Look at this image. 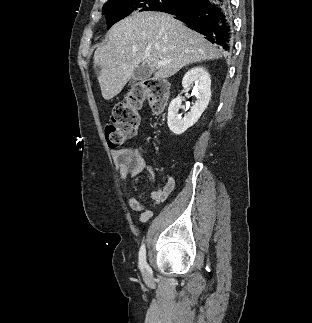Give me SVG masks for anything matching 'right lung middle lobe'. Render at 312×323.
Segmentation results:
<instances>
[{
	"mask_svg": "<svg viewBox=\"0 0 312 323\" xmlns=\"http://www.w3.org/2000/svg\"><path fill=\"white\" fill-rule=\"evenodd\" d=\"M184 0H112L103 6L108 28L136 11H158L181 4Z\"/></svg>",
	"mask_w": 312,
	"mask_h": 323,
	"instance_id": "dd1d6c3e",
	"label": "right lung middle lobe"
}]
</instances>
